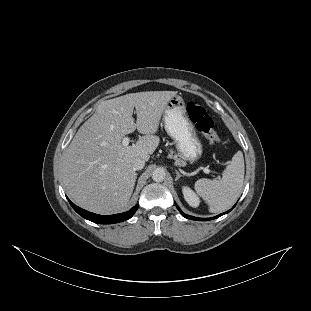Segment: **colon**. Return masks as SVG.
Returning a JSON list of instances; mask_svg holds the SVG:
<instances>
[{"label":"colon","instance_id":"1","mask_svg":"<svg viewBox=\"0 0 311 311\" xmlns=\"http://www.w3.org/2000/svg\"><path fill=\"white\" fill-rule=\"evenodd\" d=\"M186 110L191 122L196 129L201 132L211 144H217L220 139L215 131L214 122L206 109L195 101L186 104Z\"/></svg>","mask_w":311,"mask_h":311}]
</instances>
